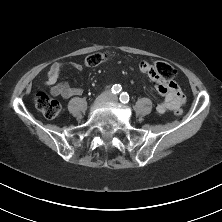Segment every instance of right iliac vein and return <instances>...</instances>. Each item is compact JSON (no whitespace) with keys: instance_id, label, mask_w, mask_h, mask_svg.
I'll list each match as a JSON object with an SVG mask.
<instances>
[{"instance_id":"obj_1","label":"right iliac vein","mask_w":222,"mask_h":222,"mask_svg":"<svg viewBox=\"0 0 222 222\" xmlns=\"http://www.w3.org/2000/svg\"><path fill=\"white\" fill-rule=\"evenodd\" d=\"M109 99V94L108 93H102L100 96H98L94 102V106H100L104 103H106Z\"/></svg>"}]
</instances>
